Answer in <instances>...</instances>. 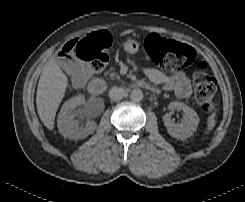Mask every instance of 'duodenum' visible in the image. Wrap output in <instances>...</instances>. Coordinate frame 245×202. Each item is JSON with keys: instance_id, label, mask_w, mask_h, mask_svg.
<instances>
[{"instance_id": "obj_1", "label": "duodenum", "mask_w": 245, "mask_h": 202, "mask_svg": "<svg viewBox=\"0 0 245 202\" xmlns=\"http://www.w3.org/2000/svg\"><path fill=\"white\" fill-rule=\"evenodd\" d=\"M135 87L142 88L153 93L158 92V90L148 82H138L135 84ZM87 88L92 96H99L105 91L106 85L102 79L93 78L88 82Z\"/></svg>"}]
</instances>
